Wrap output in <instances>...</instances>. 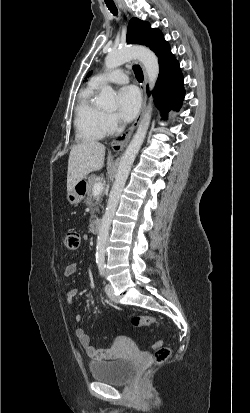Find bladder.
Returning <instances> with one entry per match:
<instances>
[{"label":"bladder","instance_id":"31cf9c89","mask_svg":"<svg viewBox=\"0 0 250 413\" xmlns=\"http://www.w3.org/2000/svg\"><path fill=\"white\" fill-rule=\"evenodd\" d=\"M89 368L93 379L112 385L125 384L134 372V364L127 358L92 362Z\"/></svg>","mask_w":250,"mask_h":413}]
</instances>
